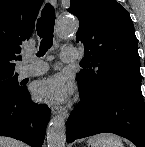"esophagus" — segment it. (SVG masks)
Returning <instances> with one entry per match:
<instances>
[{
	"instance_id": "1",
	"label": "esophagus",
	"mask_w": 145,
	"mask_h": 147,
	"mask_svg": "<svg viewBox=\"0 0 145 147\" xmlns=\"http://www.w3.org/2000/svg\"><path fill=\"white\" fill-rule=\"evenodd\" d=\"M53 6H56L57 0H49ZM51 113L53 115L62 114L65 118L68 116L67 110L59 105H53L51 107Z\"/></svg>"
}]
</instances>
